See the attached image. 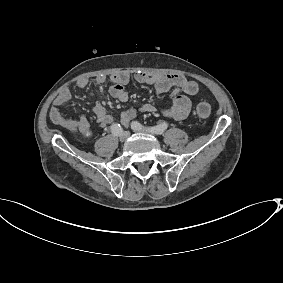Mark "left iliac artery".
I'll list each match as a JSON object with an SVG mask.
<instances>
[{"mask_svg": "<svg viewBox=\"0 0 283 283\" xmlns=\"http://www.w3.org/2000/svg\"><path fill=\"white\" fill-rule=\"evenodd\" d=\"M131 126L138 128V129L146 130V131H148L152 134H157V135L163 134L164 131L168 127L167 123H162V124H159V125L153 126V127H146V126H143L141 123H139L137 121H133L131 123Z\"/></svg>", "mask_w": 283, "mask_h": 283, "instance_id": "obj_1", "label": "left iliac artery"}]
</instances>
